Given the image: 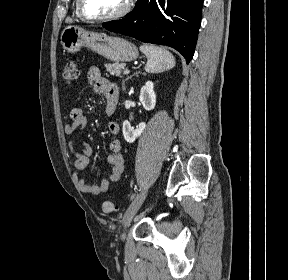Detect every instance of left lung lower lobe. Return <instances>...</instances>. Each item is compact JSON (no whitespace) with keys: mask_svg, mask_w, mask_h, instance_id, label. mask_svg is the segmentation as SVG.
Segmentation results:
<instances>
[{"mask_svg":"<svg viewBox=\"0 0 288 280\" xmlns=\"http://www.w3.org/2000/svg\"><path fill=\"white\" fill-rule=\"evenodd\" d=\"M203 0H138L124 19L104 23L110 31L173 47L189 63L194 55Z\"/></svg>","mask_w":288,"mask_h":280,"instance_id":"obj_1","label":"left lung lower lobe"}]
</instances>
